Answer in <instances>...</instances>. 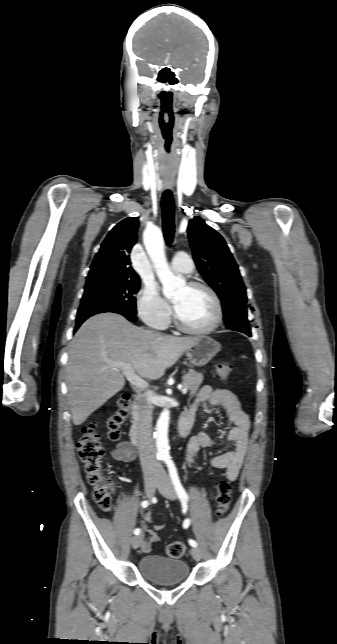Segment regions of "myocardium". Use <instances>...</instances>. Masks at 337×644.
Returning <instances> with one entry per match:
<instances>
[{"label": "myocardium", "mask_w": 337, "mask_h": 644, "mask_svg": "<svg viewBox=\"0 0 337 644\" xmlns=\"http://www.w3.org/2000/svg\"><path fill=\"white\" fill-rule=\"evenodd\" d=\"M188 288L195 289V288H201L204 289L205 291L208 292V294L211 296L214 307H215V316L210 325H208L205 328L201 329H194L186 326L177 316L175 311L172 313V319L174 322V325L176 326L177 329L180 331L187 333V334H192V335H206L210 334L213 331H215L221 324L222 319H223V308L221 304V300L216 293V291L208 284L200 281H191L186 285Z\"/></svg>", "instance_id": "1"}]
</instances>
